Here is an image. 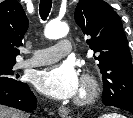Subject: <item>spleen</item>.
<instances>
[{
  "instance_id": "obj_1",
  "label": "spleen",
  "mask_w": 133,
  "mask_h": 118,
  "mask_svg": "<svg viewBox=\"0 0 133 118\" xmlns=\"http://www.w3.org/2000/svg\"><path fill=\"white\" fill-rule=\"evenodd\" d=\"M103 118H117V117L104 116Z\"/></svg>"
}]
</instances>
